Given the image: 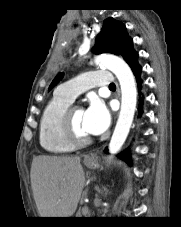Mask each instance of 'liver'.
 Returning a JSON list of instances; mask_svg holds the SVG:
<instances>
[{
	"label": "liver",
	"mask_w": 181,
	"mask_h": 227,
	"mask_svg": "<svg viewBox=\"0 0 181 227\" xmlns=\"http://www.w3.org/2000/svg\"><path fill=\"white\" fill-rule=\"evenodd\" d=\"M79 156H37L31 165V186L41 217H71L85 184Z\"/></svg>",
	"instance_id": "6515ba94"
}]
</instances>
